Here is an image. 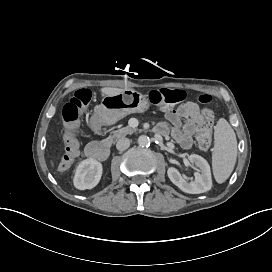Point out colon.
Masks as SVG:
<instances>
[{
  "label": "colon",
  "mask_w": 272,
  "mask_h": 272,
  "mask_svg": "<svg viewBox=\"0 0 272 272\" xmlns=\"http://www.w3.org/2000/svg\"><path fill=\"white\" fill-rule=\"evenodd\" d=\"M149 98L152 104H154L155 109L162 110L164 107L171 108L174 103L182 101L184 95L179 90L160 89L150 91ZM90 100L91 92L88 89H81L66 102L62 109L61 119L64 124L62 129V144L65 153L63 160L59 165V169L61 170L67 169L70 162L76 161L79 158L80 151L77 146L76 127L79 125V122L85 113V107ZM212 101V96L207 94L201 95L197 99V102L203 106L200 124L204 128L197 134V142L202 150H207L210 147L211 125L214 122V114L210 108Z\"/></svg>",
  "instance_id": "colon-1"
}]
</instances>
